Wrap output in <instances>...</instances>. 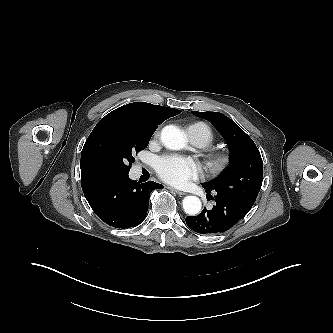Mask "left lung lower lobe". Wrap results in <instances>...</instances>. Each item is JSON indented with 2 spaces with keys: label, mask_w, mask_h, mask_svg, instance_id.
I'll return each instance as SVG.
<instances>
[{
  "label": "left lung lower lobe",
  "mask_w": 333,
  "mask_h": 333,
  "mask_svg": "<svg viewBox=\"0 0 333 333\" xmlns=\"http://www.w3.org/2000/svg\"><path fill=\"white\" fill-rule=\"evenodd\" d=\"M202 186L206 189L207 195L214 191L204 184ZM215 193L214 197L210 195L216 201L211 210L204 209L197 216L186 217V223L191 230L208 235L225 232L239 222L253 206L244 199L223 192Z\"/></svg>",
  "instance_id": "1"
}]
</instances>
